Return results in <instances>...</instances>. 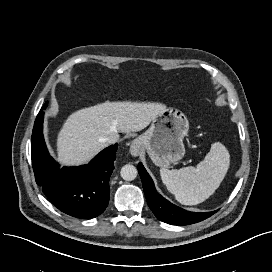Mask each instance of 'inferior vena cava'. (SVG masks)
Listing matches in <instances>:
<instances>
[{"label": "inferior vena cava", "mask_w": 272, "mask_h": 272, "mask_svg": "<svg viewBox=\"0 0 272 272\" xmlns=\"http://www.w3.org/2000/svg\"><path fill=\"white\" fill-rule=\"evenodd\" d=\"M119 140V134L118 133H111L105 138V142L109 144H114Z\"/></svg>", "instance_id": "inferior-vena-cava-1"}]
</instances>
